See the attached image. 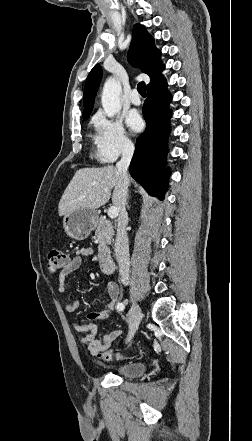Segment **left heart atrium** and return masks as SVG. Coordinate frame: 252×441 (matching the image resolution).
I'll return each mask as SVG.
<instances>
[{
    "label": "left heart atrium",
    "mask_w": 252,
    "mask_h": 441,
    "mask_svg": "<svg viewBox=\"0 0 252 441\" xmlns=\"http://www.w3.org/2000/svg\"><path fill=\"white\" fill-rule=\"evenodd\" d=\"M127 123L133 131H139L142 127V119L137 113H131L127 118Z\"/></svg>",
    "instance_id": "left-heart-atrium-1"
}]
</instances>
